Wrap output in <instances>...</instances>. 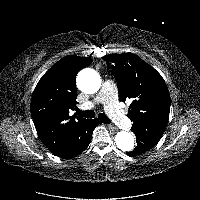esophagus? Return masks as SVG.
<instances>
[{"label":"esophagus","mask_w":200,"mask_h":200,"mask_svg":"<svg viewBox=\"0 0 200 200\" xmlns=\"http://www.w3.org/2000/svg\"><path fill=\"white\" fill-rule=\"evenodd\" d=\"M109 129L113 132L117 131V127L113 126V125H108Z\"/></svg>","instance_id":"34e87169"}]
</instances>
